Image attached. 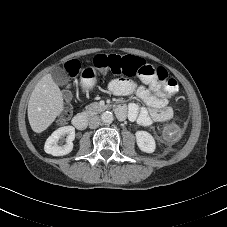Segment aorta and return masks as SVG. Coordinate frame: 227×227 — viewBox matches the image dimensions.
<instances>
[{"label":"aorta","instance_id":"aorta-1","mask_svg":"<svg viewBox=\"0 0 227 227\" xmlns=\"http://www.w3.org/2000/svg\"><path fill=\"white\" fill-rule=\"evenodd\" d=\"M101 120L103 123L111 124L114 120L112 112L106 111L101 114Z\"/></svg>","mask_w":227,"mask_h":227}]
</instances>
